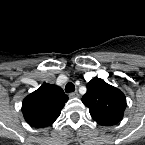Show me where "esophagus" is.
Returning <instances> with one entry per match:
<instances>
[{"instance_id":"34e87169","label":"esophagus","mask_w":145,"mask_h":145,"mask_svg":"<svg viewBox=\"0 0 145 145\" xmlns=\"http://www.w3.org/2000/svg\"><path fill=\"white\" fill-rule=\"evenodd\" d=\"M69 97L70 98H78L79 97V93L77 91L72 92V93L69 94Z\"/></svg>"}]
</instances>
